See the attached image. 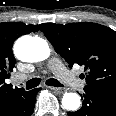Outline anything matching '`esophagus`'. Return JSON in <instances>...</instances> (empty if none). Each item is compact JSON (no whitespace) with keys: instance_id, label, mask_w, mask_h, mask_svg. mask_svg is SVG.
Instances as JSON below:
<instances>
[{"instance_id":"1","label":"esophagus","mask_w":116,"mask_h":116,"mask_svg":"<svg viewBox=\"0 0 116 116\" xmlns=\"http://www.w3.org/2000/svg\"><path fill=\"white\" fill-rule=\"evenodd\" d=\"M49 88L51 90H53L54 92L59 93V94H63V93L66 92V89L65 88L52 87V86H49Z\"/></svg>"}]
</instances>
